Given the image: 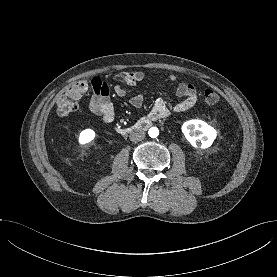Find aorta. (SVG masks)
Wrapping results in <instances>:
<instances>
[{"label":"aorta","instance_id":"aorta-1","mask_svg":"<svg viewBox=\"0 0 277 277\" xmlns=\"http://www.w3.org/2000/svg\"><path fill=\"white\" fill-rule=\"evenodd\" d=\"M148 134L151 138H157L159 135V130L157 127H151L148 131Z\"/></svg>","mask_w":277,"mask_h":277}]
</instances>
